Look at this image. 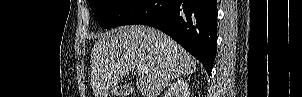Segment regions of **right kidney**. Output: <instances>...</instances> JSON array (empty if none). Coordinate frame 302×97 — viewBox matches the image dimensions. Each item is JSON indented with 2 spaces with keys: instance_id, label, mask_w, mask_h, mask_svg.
<instances>
[{
  "instance_id": "right-kidney-1",
  "label": "right kidney",
  "mask_w": 302,
  "mask_h": 97,
  "mask_svg": "<svg viewBox=\"0 0 302 97\" xmlns=\"http://www.w3.org/2000/svg\"><path fill=\"white\" fill-rule=\"evenodd\" d=\"M177 92H180L183 95V97H189L190 95L189 84L183 79H178L171 86L170 95H174Z\"/></svg>"
}]
</instances>
